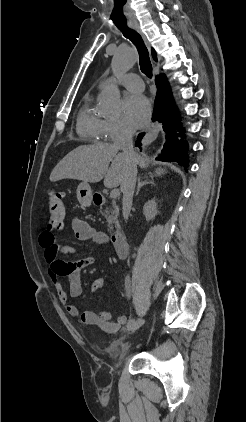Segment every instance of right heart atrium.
<instances>
[{
	"mask_svg": "<svg viewBox=\"0 0 246 422\" xmlns=\"http://www.w3.org/2000/svg\"><path fill=\"white\" fill-rule=\"evenodd\" d=\"M132 129L120 120H104L102 137L107 141H114L131 134Z\"/></svg>",
	"mask_w": 246,
	"mask_h": 422,
	"instance_id": "obj_1",
	"label": "right heart atrium"
}]
</instances>
